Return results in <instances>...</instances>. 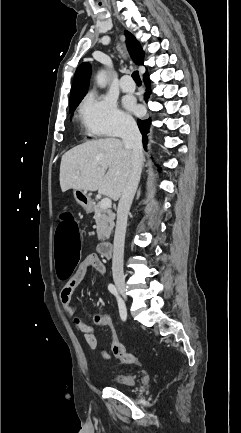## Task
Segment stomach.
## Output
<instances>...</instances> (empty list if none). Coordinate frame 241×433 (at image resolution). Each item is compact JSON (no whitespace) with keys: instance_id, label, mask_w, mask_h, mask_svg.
I'll use <instances>...</instances> for the list:
<instances>
[{"instance_id":"0dacf381","label":"stomach","mask_w":241,"mask_h":433,"mask_svg":"<svg viewBox=\"0 0 241 433\" xmlns=\"http://www.w3.org/2000/svg\"><path fill=\"white\" fill-rule=\"evenodd\" d=\"M74 198L85 211L90 212L92 210L93 201L91 200L90 194L87 191L74 190Z\"/></svg>"}]
</instances>
